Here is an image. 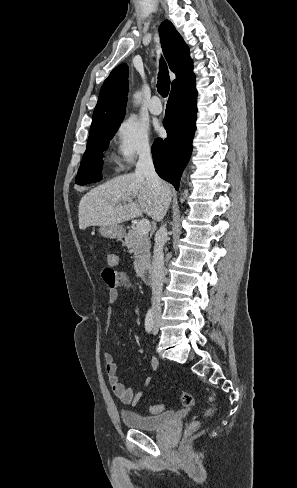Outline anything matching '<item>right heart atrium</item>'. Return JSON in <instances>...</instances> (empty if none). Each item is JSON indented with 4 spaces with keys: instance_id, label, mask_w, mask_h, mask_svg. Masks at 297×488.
Segmentation results:
<instances>
[{
    "instance_id": "right-heart-atrium-1",
    "label": "right heart atrium",
    "mask_w": 297,
    "mask_h": 488,
    "mask_svg": "<svg viewBox=\"0 0 297 488\" xmlns=\"http://www.w3.org/2000/svg\"><path fill=\"white\" fill-rule=\"evenodd\" d=\"M115 141L118 160L126 166L137 158L149 156L153 150L148 130L133 117H127L119 123Z\"/></svg>"
}]
</instances>
